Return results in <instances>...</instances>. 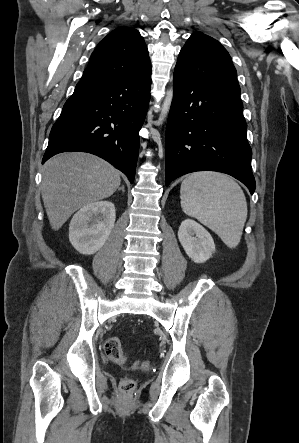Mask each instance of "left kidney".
I'll list each match as a JSON object with an SVG mask.
<instances>
[{"label": "left kidney", "instance_id": "obj_1", "mask_svg": "<svg viewBox=\"0 0 299 443\" xmlns=\"http://www.w3.org/2000/svg\"><path fill=\"white\" fill-rule=\"evenodd\" d=\"M178 239L186 254L195 263H204L215 251V244L210 233L191 219H186L181 223Z\"/></svg>", "mask_w": 299, "mask_h": 443}]
</instances>
